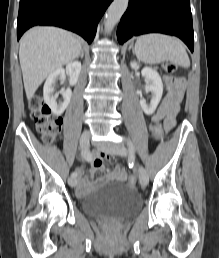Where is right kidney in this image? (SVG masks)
Wrapping results in <instances>:
<instances>
[{"instance_id":"1","label":"right kidney","mask_w":219,"mask_h":258,"mask_svg":"<svg viewBox=\"0 0 219 258\" xmlns=\"http://www.w3.org/2000/svg\"><path fill=\"white\" fill-rule=\"evenodd\" d=\"M65 72L69 73L70 75V84L75 85L81 72V63L79 61H74L68 63L66 65V69L59 68L55 70L47 77L43 88L44 101L49 106L51 111L57 116L61 115L65 111L72 96L71 89H67L61 93L63 101L57 103V94H54L55 83L58 79H65Z\"/></svg>"}]
</instances>
